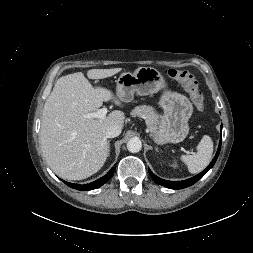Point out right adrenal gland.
I'll list each match as a JSON object with an SVG mask.
<instances>
[{"label": "right adrenal gland", "mask_w": 253, "mask_h": 253, "mask_svg": "<svg viewBox=\"0 0 253 253\" xmlns=\"http://www.w3.org/2000/svg\"><path fill=\"white\" fill-rule=\"evenodd\" d=\"M110 155V141H108V156Z\"/></svg>", "instance_id": "right-adrenal-gland-1"}]
</instances>
